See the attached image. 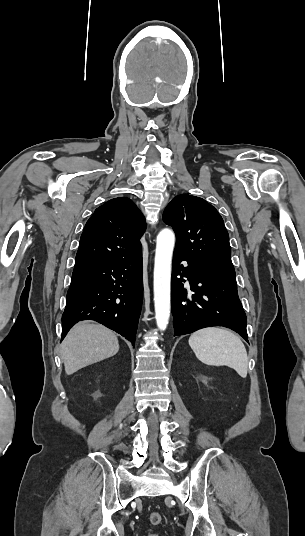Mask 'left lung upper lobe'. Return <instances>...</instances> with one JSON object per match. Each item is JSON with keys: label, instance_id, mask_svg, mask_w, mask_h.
I'll use <instances>...</instances> for the list:
<instances>
[{"label": "left lung upper lobe", "instance_id": "1", "mask_svg": "<svg viewBox=\"0 0 305 536\" xmlns=\"http://www.w3.org/2000/svg\"><path fill=\"white\" fill-rule=\"evenodd\" d=\"M163 221L176 234L175 254L205 268L235 273L223 219L204 199L176 196L165 208Z\"/></svg>", "mask_w": 305, "mask_h": 536}]
</instances>
